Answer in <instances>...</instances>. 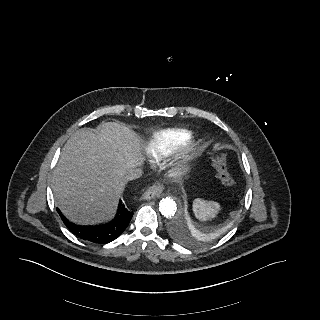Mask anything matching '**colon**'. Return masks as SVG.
<instances>
[{"instance_id":"1","label":"colon","mask_w":320,"mask_h":320,"mask_svg":"<svg viewBox=\"0 0 320 320\" xmlns=\"http://www.w3.org/2000/svg\"><path fill=\"white\" fill-rule=\"evenodd\" d=\"M216 171L218 178L225 186H232L234 185V179L232 178L228 166H227V160L225 156L220 155L216 159Z\"/></svg>"}]
</instances>
